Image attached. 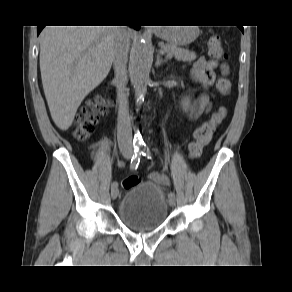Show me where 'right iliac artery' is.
<instances>
[{"label":"right iliac artery","instance_id":"right-iliac-artery-1","mask_svg":"<svg viewBox=\"0 0 292 292\" xmlns=\"http://www.w3.org/2000/svg\"><path fill=\"white\" fill-rule=\"evenodd\" d=\"M141 155H142L141 148L136 147L134 149V154H133L131 161H130V169H132V170L137 169V167L140 163ZM117 186H118L117 182L112 183V189L117 188Z\"/></svg>","mask_w":292,"mask_h":292}]
</instances>
